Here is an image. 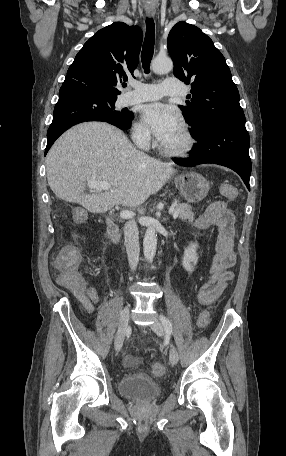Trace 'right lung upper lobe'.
Returning <instances> with one entry per match:
<instances>
[{"mask_svg":"<svg viewBox=\"0 0 286 456\" xmlns=\"http://www.w3.org/2000/svg\"><path fill=\"white\" fill-rule=\"evenodd\" d=\"M143 33L137 26L116 22L99 30L76 55L63 85H79L106 100H116L117 86L133 76Z\"/></svg>","mask_w":286,"mask_h":456,"instance_id":"obj_1","label":"right lung upper lobe"}]
</instances>
